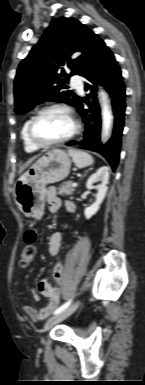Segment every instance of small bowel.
<instances>
[{"instance_id":"c3829d8e","label":"small bowel","mask_w":145,"mask_h":385,"mask_svg":"<svg viewBox=\"0 0 145 385\" xmlns=\"http://www.w3.org/2000/svg\"><path fill=\"white\" fill-rule=\"evenodd\" d=\"M46 200L48 208L51 212H56L60 209L62 205L61 199L56 195V190L54 187H50L46 193ZM66 208L70 213L75 212V205L71 202H66ZM62 244V234L58 231L54 232L51 235L49 243V251L52 255H58L61 249ZM60 265V264H58ZM57 266V265H56ZM55 266V268H56ZM61 266V265H60ZM54 268V279L55 284L52 285L48 282L47 279L43 278L38 281L36 287L33 289V299L34 301H39L40 295L46 297L48 301L40 309H36L31 305H23V311L30 316L32 320H43L47 318L57 307L61 299V290H62V267L61 272L58 274L55 272Z\"/></svg>"}]
</instances>
